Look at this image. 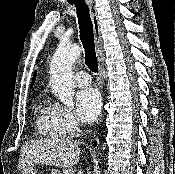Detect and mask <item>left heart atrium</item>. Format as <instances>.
<instances>
[{"instance_id": "obj_1", "label": "left heart atrium", "mask_w": 175, "mask_h": 174, "mask_svg": "<svg viewBox=\"0 0 175 174\" xmlns=\"http://www.w3.org/2000/svg\"><path fill=\"white\" fill-rule=\"evenodd\" d=\"M77 112L84 122H93L101 110L100 94L93 88L80 90L76 95Z\"/></svg>"}]
</instances>
